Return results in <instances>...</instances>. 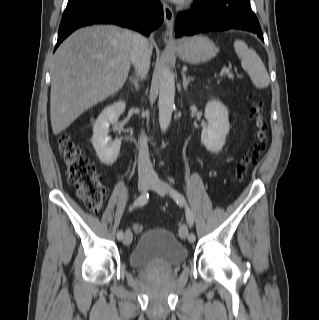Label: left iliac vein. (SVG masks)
Returning <instances> with one entry per match:
<instances>
[{"label":"left iliac vein","instance_id":"1","mask_svg":"<svg viewBox=\"0 0 319 320\" xmlns=\"http://www.w3.org/2000/svg\"><path fill=\"white\" fill-rule=\"evenodd\" d=\"M150 188L162 196L165 194L173 195L174 192L166 182L160 180L159 178L151 179ZM179 235L182 239H186L188 237V229L185 224L180 227Z\"/></svg>","mask_w":319,"mask_h":320}]
</instances>
